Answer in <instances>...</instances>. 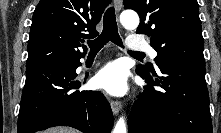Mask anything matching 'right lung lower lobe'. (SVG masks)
<instances>
[{
  "instance_id": "98d812e1",
  "label": "right lung lower lobe",
  "mask_w": 221,
  "mask_h": 133,
  "mask_svg": "<svg viewBox=\"0 0 221 133\" xmlns=\"http://www.w3.org/2000/svg\"><path fill=\"white\" fill-rule=\"evenodd\" d=\"M78 61H60L26 69L17 133L70 126L83 133H110L113 114L99 91H79ZM86 79H84V82Z\"/></svg>"
}]
</instances>
